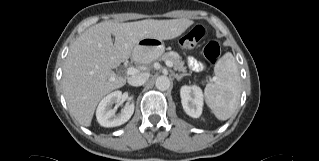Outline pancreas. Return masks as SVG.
I'll return each mask as SVG.
<instances>
[{
	"label": "pancreas",
	"mask_w": 319,
	"mask_h": 161,
	"mask_svg": "<svg viewBox=\"0 0 319 161\" xmlns=\"http://www.w3.org/2000/svg\"><path fill=\"white\" fill-rule=\"evenodd\" d=\"M162 60L164 61H170L173 64V68L176 71L179 72H186V67L184 66L185 62L182 61L181 57L178 55V53L171 51V52H167L165 54L162 55L161 57Z\"/></svg>",
	"instance_id": "obj_1"
}]
</instances>
